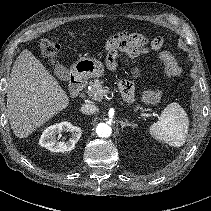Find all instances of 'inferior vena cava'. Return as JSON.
<instances>
[{"mask_svg":"<svg viewBox=\"0 0 211 211\" xmlns=\"http://www.w3.org/2000/svg\"><path fill=\"white\" fill-rule=\"evenodd\" d=\"M98 108L95 105L92 104H84L81 107V111L84 114H95L96 112H98Z\"/></svg>","mask_w":211,"mask_h":211,"instance_id":"obj_1","label":"inferior vena cava"}]
</instances>
